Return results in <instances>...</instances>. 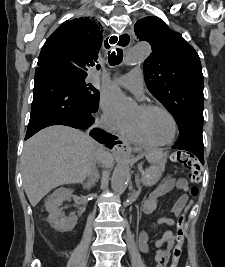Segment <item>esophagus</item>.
Wrapping results in <instances>:
<instances>
[{"mask_svg": "<svg viewBox=\"0 0 225 267\" xmlns=\"http://www.w3.org/2000/svg\"><path fill=\"white\" fill-rule=\"evenodd\" d=\"M113 36H116L117 38H118V40H117V45L119 46V47H121V48H123V49H126L127 47H129V45L131 44V36H130V34L128 33V32H123L120 36L119 35H116V34H113V35H111L110 37H109V40H108V43L111 45L112 43L111 42H113ZM122 36H124L123 37V42H122V45H120L119 44V40L121 39V37ZM128 37H129V39H128ZM129 152V145H128V143L127 142H125L124 140H122L121 142H120V144L119 145H117L115 148H114V150H113V153L115 154V155H124V154H126V153H128Z\"/></svg>", "mask_w": 225, "mask_h": 267, "instance_id": "34e87169", "label": "esophagus"}]
</instances>
